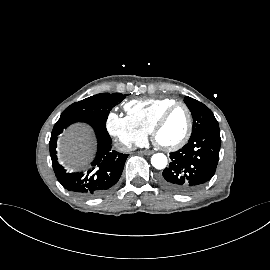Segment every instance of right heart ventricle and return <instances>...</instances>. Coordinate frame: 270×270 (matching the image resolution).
<instances>
[{"mask_svg":"<svg viewBox=\"0 0 270 270\" xmlns=\"http://www.w3.org/2000/svg\"><path fill=\"white\" fill-rule=\"evenodd\" d=\"M176 102L173 98L131 100L125 104V110L134 123L148 134L160 115Z\"/></svg>","mask_w":270,"mask_h":270,"instance_id":"obj_1","label":"right heart ventricle"}]
</instances>
